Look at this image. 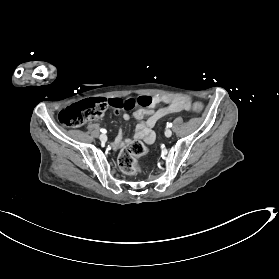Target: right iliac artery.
<instances>
[{"label": "right iliac artery", "mask_w": 279, "mask_h": 279, "mask_svg": "<svg viewBox=\"0 0 279 279\" xmlns=\"http://www.w3.org/2000/svg\"><path fill=\"white\" fill-rule=\"evenodd\" d=\"M101 132H102V133H106V130H105V129H101Z\"/></svg>", "instance_id": "1"}]
</instances>
